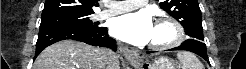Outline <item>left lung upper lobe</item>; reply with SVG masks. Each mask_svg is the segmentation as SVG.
I'll return each mask as SVG.
<instances>
[{
    "instance_id": "left-lung-upper-lobe-1",
    "label": "left lung upper lobe",
    "mask_w": 246,
    "mask_h": 69,
    "mask_svg": "<svg viewBox=\"0 0 246 69\" xmlns=\"http://www.w3.org/2000/svg\"><path fill=\"white\" fill-rule=\"evenodd\" d=\"M160 7L179 21L185 33L198 41H204L201 11L197 0H165Z\"/></svg>"
}]
</instances>
